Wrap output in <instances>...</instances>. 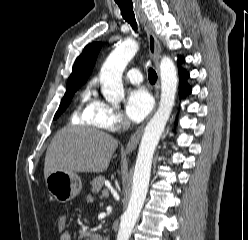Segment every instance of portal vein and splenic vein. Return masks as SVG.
I'll use <instances>...</instances> for the list:
<instances>
[{"instance_id": "portal-vein-and-splenic-vein-1", "label": "portal vein and splenic vein", "mask_w": 248, "mask_h": 240, "mask_svg": "<svg viewBox=\"0 0 248 240\" xmlns=\"http://www.w3.org/2000/svg\"><path fill=\"white\" fill-rule=\"evenodd\" d=\"M102 195H103L104 197H108V196H109L108 190H107V189H104V190L102 191Z\"/></svg>"}]
</instances>
